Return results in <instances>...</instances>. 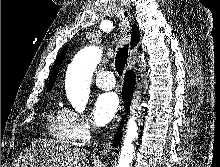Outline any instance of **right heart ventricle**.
Wrapping results in <instances>:
<instances>
[{"label":"right heart ventricle","mask_w":220,"mask_h":167,"mask_svg":"<svg viewBox=\"0 0 220 167\" xmlns=\"http://www.w3.org/2000/svg\"><path fill=\"white\" fill-rule=\"evenodd\" d=\"M49 135L64 145H72L74 139L67 126L62 110H53L48 118Z\"/></svg>","instance_id":"obj_1"}]
</instances>
